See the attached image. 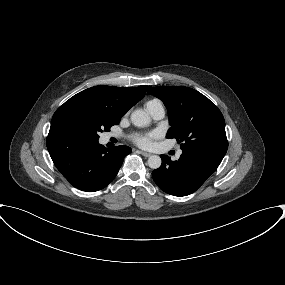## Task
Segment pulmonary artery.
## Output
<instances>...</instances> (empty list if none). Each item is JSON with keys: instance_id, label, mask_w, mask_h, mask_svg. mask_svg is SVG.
<instances>
[{"instance_id": "pulmonary-artery-1", "label": "pulmonary artery", "mask_w": 285, "mask_h": 285, "mask_svg": "<svg viewBox=\"0 0 285 285\" xmlns=\"http://www.w3.org/2000/svg\"><path fill=\"white\" fill-rule=\"evenodd\" d=\"M147 110L150 114V116L156 120L159 121L164 118L165 116V108L161 102H154L146 105ZM181 154V151L178 152V156Z\"/></svg>"}]
</instances>
